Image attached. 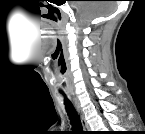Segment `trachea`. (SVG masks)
<instances>
[{
  "instance_id": "obj_1",
  "label": "trachea",
  "mask_w": 145,
  "mask_h": 134,
  "mask_svg": "<svg viewBox=\"0 0 145 134\" xmlns=\"http://www.w3.org/2000/svg\"><path fill=\"white\" fill-rule=\"evenodd\" d=\"M64 103H65V108H66V111H67L69 119H70V123L72 125V129L76 132H84L80 119H79L73 105L71 104V102L67 98H65Z\"/></svg>"
}]
</instances>
